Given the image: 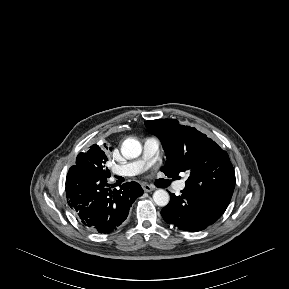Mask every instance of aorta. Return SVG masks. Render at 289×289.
Segmentation results:
<instances>
[{"label":"aorta","mask_w":289,"mask_h":289,"mask_svg":"<svg viewBox=\"0 0 289 289\" xmlns=\"http://www.w3.org/2000/svg\"><path fill=\"white\" fill-rule=\"evenodd\" d=\"M121 151L128 158H136L142 152L141 143L138 140L128 138L122 143ZM169 194L163 189L156 190L153 194V200L158 206H166L169 203Z\"/></svg>","instance_id":"1"}]
</instances>
